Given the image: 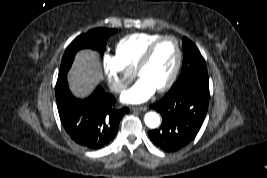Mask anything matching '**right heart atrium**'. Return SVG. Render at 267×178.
Segmentation results:
<instances>
[{"label":"right heart atrium","instance_id":"right-heart-atrium-1","mask_svg":"<svg viewBox=\"0 0 267 178\" xmlns=\"http://www.w3.org/2000/svg\"><path fill=\"white\" fill-rule=\"evenodd\" d=\"M102 66L108 84L115 93L123 92L134 76L133 72L127 70L116 56L105 54Z\"/></svg>","mask_w":267,"mask_h":178}]
</instances>
